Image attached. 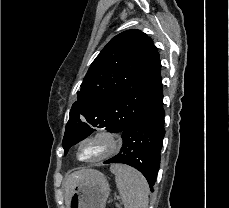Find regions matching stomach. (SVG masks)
Listing matches in <instances>:
<instances>
[{
    "label": "stomach",
    "instance_id": "0dacf381",
    "mask_svg": "<svg viewBox=\"0 0 229 208\" xmlns=\"http://www.w3.org/2000/svg\"><path fill=\"white\" fill-rule=\"evenodd\" d=\"M110 188L103 174L100 178L84 180L75 186L68 208H105Z\"/></svg>",
    "mask_w": 229,
    "mask_h": 208
}]
</instances>
